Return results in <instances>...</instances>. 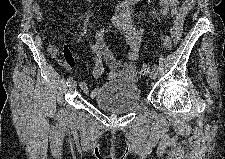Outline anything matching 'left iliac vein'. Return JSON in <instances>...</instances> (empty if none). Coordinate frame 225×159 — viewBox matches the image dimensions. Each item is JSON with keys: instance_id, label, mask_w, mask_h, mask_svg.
<instances>
[{"instance_id": "4c4485c4", "label": "left iliac vein", "mask_w": 225, "mask_h": 159, "mask_svg": "<svg viewBox=\"0 0 225 159\" xmlns=\"http://www.w3.org/2000/svg\"><path fill=\"white\" fill-rule=\"evenodd\" d=\"M156 77H157V70L153 69V70L151 71V73H150V78H151L152 80H155Z\"/></svg>"}]
</instances>
